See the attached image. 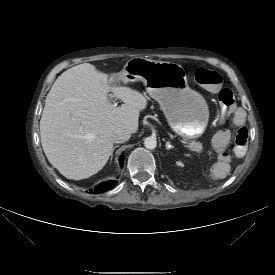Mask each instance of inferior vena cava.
<instances>
[{
    "label": "inferior vena cava",
    "instance_id": "inferior-vena-cava-1",
    "mask_svg": "<svg viewBox=\"0 0 275 275\" xmlns=\"http://www.w3.org/2000/svg\"><path fill=\"white\" fill-rule=\"evenodd\" d=\"M131 137V132L126 128H119L112 134V140L114 143H123Z\"/></svg>",
    "mask_w": 275,
    "mask_h": 275
}]
</instances>
